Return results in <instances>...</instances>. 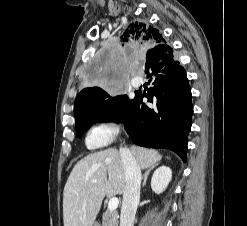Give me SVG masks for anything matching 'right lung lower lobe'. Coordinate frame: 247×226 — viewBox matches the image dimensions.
<instances>
[{"label":"right lung lower lobe","instance_id":"1","mask_svg":"<svg viewBox=\"0 0 247 226\" xmlns=\"http://www.w3.org/2000/svg\"><path fill=\"white\" fill-rule=\"evenodd\" d=\"M149 70L154 87L146 95L135 92V98L128 99L107 121H123L137 145L170 149L185 162L193 113L186 72L166 43L148 50L145 72ZM143 97L154 106L142 103Z\"/></svg>","mask_w":247,"mask_h":226}]
</instances>
